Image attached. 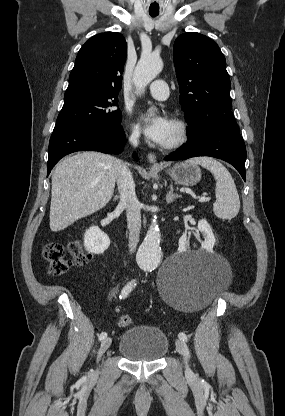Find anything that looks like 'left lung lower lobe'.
I'll use <instances>...</instances> for the list:
<instances>
[{"instance_id":"obj_1","label":"left lung lower lobe","mask_w":285,"mask_h":416,"mask_svg":"<svg viewBox=\"0 0 285 416\" xmlns=\"http://www.w3.org/2000/svg\"><path fill=\"white\" fill-rule=\"evenodd\" d=\"M188 142L164 160L211 156L233 165L245 179L246 147L236 123H221L188 137Z\"/></svg>"}]
</instances>
